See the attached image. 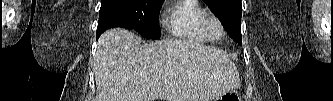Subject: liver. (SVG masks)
Returning a JSON list of instances; mask_svg holds the SVG:
<instances>
[{
  "mask_svg": "<svg viewBox=\"0 0 333 101\" xmlns=\"http://www.w3.org/2000/svg\"><path fill=\"white\" fill-rule=\"evenodd\" d=\"M97 46L95 101H212L240 87L228 55L198 42L141 44L134 33L114 28L101 35Z\"/></svg>",
  "mask_w": 333,
  "mask_h": 101,
  "instance_id": "1",
  "label": "liver"
}]
</instances>
